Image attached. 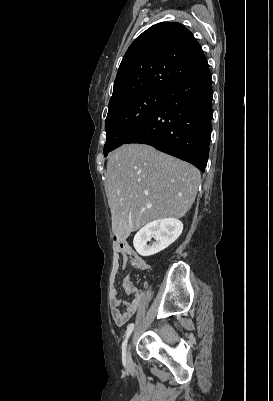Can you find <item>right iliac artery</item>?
Here are the masks:
<instances>
[{"mask_svg": "<svg viewBox=\"0 0 273 401\" xmlns=\"http://www.w3.org/2000/svg\"><path fill=\"white\" fill-rule=\"evenodd\" d=\"M133 329H134V324H133V323H131V324H129V325L127 326V331H126L125 340H124V342L122 343V348H123V350H124L125 347H126L127 340H128V338H129V336L131 335ZM123 363H124V365H126L124 353H123Z\"/></svg>", "mask_w": 273, "mask_h": 401, "instance_id": "82829eb1", "label": "right iliac artery"}]
</instances>
